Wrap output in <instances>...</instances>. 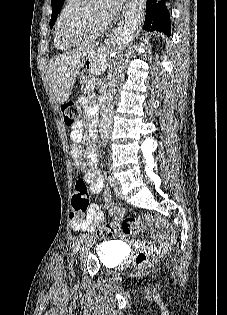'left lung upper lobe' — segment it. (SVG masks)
<instances>
[{
  "mask_svg": "<svg viewBox=\"0 0 227 315\" xmlns=\"http://www.w3.org/2000/svg\"><path fill=\"white\" fill-rule=\"evenodd\" d=\"M65 0H51V5H52V15H51V20H50V28L53 27L54 22L56 20V17L61 10L63 3Z\"/></svg>",
  "mask_w": 227,
  "mask_h": 315,
  "instance_id": "5c2ea615",
  "label": "left lung upper lobe"
}]
</instances>
